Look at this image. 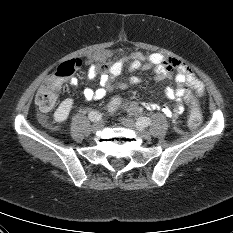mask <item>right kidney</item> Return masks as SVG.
Segmentation results:
<instances>
[{"label":"right kidney","instance_id":"obj_1","mask_svg":"<svg viewBox=\"0 0 233 233\" xmlns=\"http://www.w3.org/2000/svg\"><path fill=\"white\" fill-rule=\"evenodd\" d=\"M73 105V99L67 98L64 101L61 102L60 106L56 109L53 117L54 120L58 123L64 122L68 116L69 112Z\"/></svg>","mask_w":233,"mask_h":233}]
</instances>
